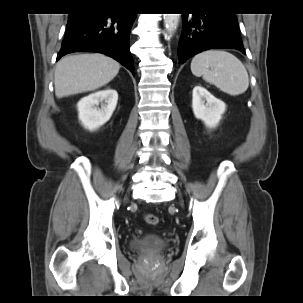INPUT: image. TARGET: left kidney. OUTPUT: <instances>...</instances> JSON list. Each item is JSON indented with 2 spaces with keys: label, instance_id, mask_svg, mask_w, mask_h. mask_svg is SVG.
I'll return each instance as SVG.
<instances>
[{
  "label": "left kidney",
  "instance_id": "1",
  "mask_svg": "<svg viewBox=\"0 0 303 303\" xmlns=\"http://www.w3.org/2000/svg\"><path fill=\"white\" fill-rule=\"evenodd\" d=\"M192 108L194 116L202 120L207 128L213 129L219 124L226 104L201 85H196L192 92Z\"/></svg>",
  "mask_w": 303,
  "mask_h": 303
}]
</instances>
